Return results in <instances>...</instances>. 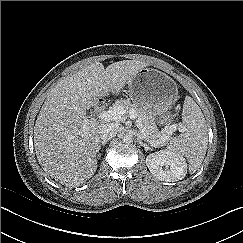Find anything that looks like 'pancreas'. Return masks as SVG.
Segmentation results:
<instances>
[{
    "label": "pancreas",
    "instance_id": "1",
    "mask_svg": "<svg viewBox=\"0 0 243 243\" xmlns=\"http://www.w3.org/2000/svg\"><path fill=\"white\" fill-rule=\"evenodd\" d=\"M115 106H122L126 110V114L129 110L134 109L137 112V118L141 120L142 128L146 134V139L154 144L163 143V137L170 134L172 131L170 129H164L159 131L156 125V121L153 115L147 110L136 106L129 100L121 99L115 102Z\"/></svg>",
    "mask_w": 243,
    "mask_h": 243
}]
</instances>
